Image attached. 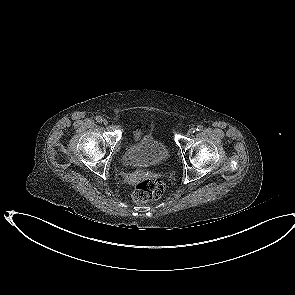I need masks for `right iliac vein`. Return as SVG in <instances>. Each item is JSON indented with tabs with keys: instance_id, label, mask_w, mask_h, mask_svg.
Listing matches in <instances>:
<instances>
[{
	"instance_id": "right-iliac-vein-1",
	"label": "right iliac vein",
	"mask_w": 295,
	"mask_h": 295,
	"mask_svg": "<svg viewBox=\"0 0 295 295\" xmlns=\"http://www.w3.org/2000/svg\"><path fill=\"white\" fill-rule=\"evenodd\" d=\"M103 124H104V125H108V120H107V119H104V120H103Z\"/></svg>"
}]
</instances>
